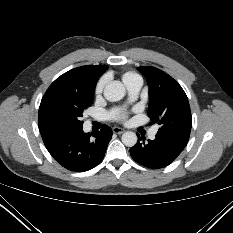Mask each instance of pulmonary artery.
Masks as SVG:
<instances>
[{"label": "pulmonary artery", "mask_w": 233, "mask_h": 233, "mask_svg": "<svg viewBox=\"0 0 233 233\" xmlns=\"http://www.w3.org/2000/svg\"><path fill=\"white\" fill-rule=\"evenodd\" d=\"M142 86V79L139 77V78H136L134 79L133 81L129 82L126 87L128 89V92L130 94V98L131 100H134L137 96V94L139 93L140 91V88ZM157 131H158V127H154L150 133H149V137L151 139H154L156 134H157Z\"/></svg>", "instance_id": "obj_1"}]
</instances>
